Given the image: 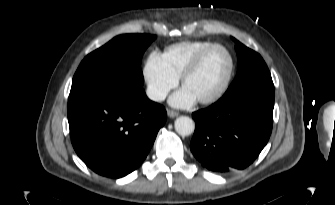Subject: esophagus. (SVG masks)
I'll return each instance as SVG.
<instances>
[{
  "instance_id": "34e87169",
  "label": "esophagus",
  "mask_w": 335,
  "mask_h": 205,
  "mask_svg": "<svg viewBox=\"0 0 335 205\" xmlns=\"http://www.w3.org/2000/svg\"><path fill=\"white\" fill-rule=\"evenodd\" d=\"M167 114H168V116L170 117V118H175V117H177L178 115H179V113L178 112H176V111H173V110H167Z\"/></svg>"
}]
</instances>
